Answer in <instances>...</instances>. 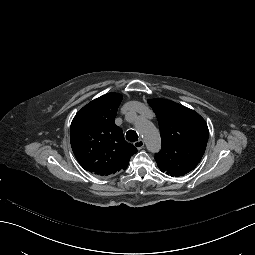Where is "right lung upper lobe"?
<instances>
[{
  "label": "right lung upper lobe",
  "instance_id": "obj_1",
  "mask_svg": "<svg viewBox=\"0 0 255 255\" xmlns=\"http://www.w3.org/2000/svg\"><path fill=\"white\" fill-rule=\"evenodd\" d=\"M121 101L122 95L107 93L83 107L71 123L72 150L80 165L91 173L108 176L125 170L137 152L115 124Z\"/></svg>",
  "mask_w": 255,
  "mask_h": 255
}]
</instances>
